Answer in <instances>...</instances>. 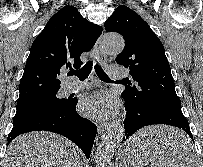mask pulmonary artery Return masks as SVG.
<instances>
[{"label":"pulmonary artery","instance_id":"pulmonary-artery-1","mask_svg":"<svg viewBox=\"0 0 203 167\" xmlns=\"http://www.w3.org/2000/svg\"><path fill=\"white\" fill-rule=\"evenodd\" d=\"M109 74L115 78H122L128 75V70L121 65H112L108 68ZM89 83L87 82H78V81H70L66 85V90L68 92H73L76 90L84 89L89 87Z\"/></svg>","mask_w":203,"mask_h":167}]
</instances>
